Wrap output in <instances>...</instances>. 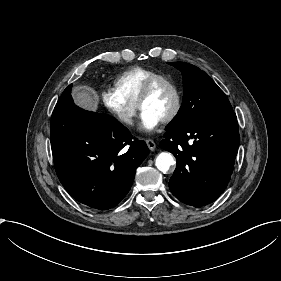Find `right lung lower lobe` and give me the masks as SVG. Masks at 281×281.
<instances>
[{"mask_svg": "<svg viewBox=\"0 0 281 281\" xmlns=\"http://www.w3.org/2000/svg\"><path fill=\"white\" fill-rule=\"evenodd\" d=\"M71 88L64 90L51 117L57 176L77 201L99 210L113 208L129 192L149 149L114 117L77 107Z\"/></svg>", "mask_w": 281, "mask_h": 281, "instance_id": "1", "label": "right lung lower lobe"}]
</instances>
